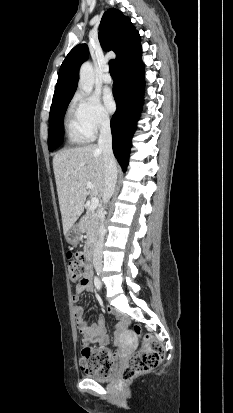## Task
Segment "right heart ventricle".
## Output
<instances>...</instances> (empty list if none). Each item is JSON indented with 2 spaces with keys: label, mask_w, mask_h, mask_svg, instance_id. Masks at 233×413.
<instances>
[{
  "label": "right heart ventricle",
  "mask_w": 233,
  "mask_h": 413,
  "mask_svg": "<svg viewBox=\"0 0 233 413\" xmlns=\"http://www.w3.org/2000/svg\"><path fill=\"white\" fill-rule=\"evenodd\" d=\"M64 128L67 141L71 145H81L92 139L83 126L75 105H71L67 110Z\"/></svg>",
  "instance_id": "1"
}]
</instances>
